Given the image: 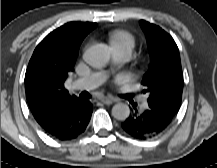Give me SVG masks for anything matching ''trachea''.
I'll use <instances>...</instances> for the list:
<instances>
[{
  "label": "trachea",
  "instance_id": "1",
  "mask_svg": "<svg viewBox=\"0 0 217 168\" xmlns=\"http://www.w3.org/2000/svg\"><path fill=\"white\" fill-rule=\"evenodd\" d=\"M82 98H88L89 97V95H87V93L86 92H83V93H81V95H80Z\"/></svg>",
  "mask_w": 217,
  "mask_h": 168
}]
</instances>
